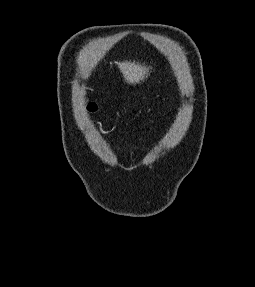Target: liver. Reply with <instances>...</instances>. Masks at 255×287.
Masks as SVG:
<instances>
[{"label":"liver","instance_id":"obj_1","mask_svg":"<svg viewBox=\"0 0 255 287\" xmlns=\"http://www.w3.org/2000/svg\"><path fill=\"white\" fill-rule=\"evenodd\" d=\"M128 84H140L148 78L149 68L140 66L138 62H116Z\"/></svg>","mask_w":255,"mask_h":287}]
</instances>
